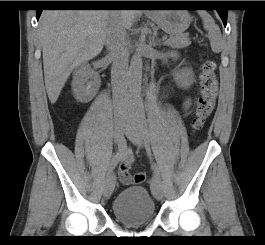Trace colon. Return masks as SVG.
<instances>
[{
  "instance_id": "colon-1",
  "label": "colon",
  "mask_w": 265,
  "mask_h": 245,
  "mask_svg": "<svg viewBox=\"0 0 265 245\" xmlns=\"http://www.w3.org/2000/svg\"><path fill=\"white\" fill-rule=\"evenodd\" d=\"M217 65L212 59L204 57L200 65V93L192 120L194 131H199L215 110L216 100L219 92V81L217 76ZM144 173L133 175V182L141 184L145 181Z\"/></svg>"
}]
</instances>
